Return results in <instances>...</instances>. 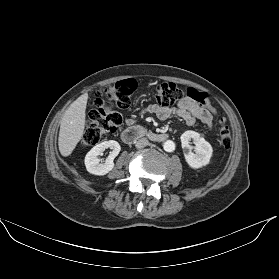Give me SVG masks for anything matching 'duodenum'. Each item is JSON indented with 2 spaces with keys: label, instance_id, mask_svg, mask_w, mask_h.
<instances>
[{
  "label": "duodenum",
  "instance_id": "1",
  "mask_svg": "<svg viewBox=\"0 0 279 279\" xmlns=\"http://www.w3.org/2000/svg\"><path fill=\"white\" fill-rule=\"evenodd\" d=\"M120 137L124 143L131 144L138 139L147 138L152 141H164L168 138L167 133L153 132L141 127H132L121 132Z\"/></svg>",
  "mask_w": 279,
  "mask_h": 279
}]
</instances>
